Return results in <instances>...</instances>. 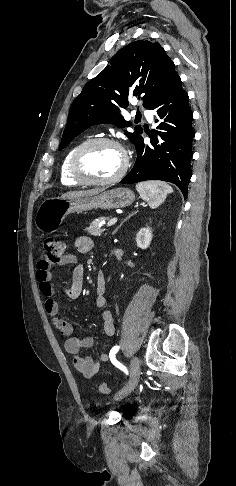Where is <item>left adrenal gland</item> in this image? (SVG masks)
Here are the masks:
<instances>
[{
  "label": "left adrenal gland",
  "instance_id": "left-adrenal-gland-1",
  "mask_svg": "<svg viewBox=\"0 0 236 486\" xmlns=\"http://www.w3.org/2000/svg\"><path fill=\"white\" fill-rule=\"evenodd\" d=\"M136 213H137V211H136V212H134V213H132L131 215H129V216H128V217H127V218H126V219H125V220H124V221H123V222H122V223H121V224H120V225H119V226H118V227H117V228L114 230L113 234H115V233L118 231V229H119V228H120V227L123 225V223H124L125 221H127V220H128L130 217H131V216H133V215H134V214H136Z\"/></svg>",
  "mask_w": 236,
  "mask_h": 486
}]
</instances>
